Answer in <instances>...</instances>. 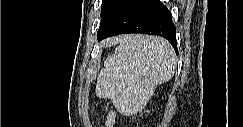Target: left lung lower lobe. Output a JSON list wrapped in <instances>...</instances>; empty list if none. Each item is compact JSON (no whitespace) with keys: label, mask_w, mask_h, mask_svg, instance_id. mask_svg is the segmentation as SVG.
<instances>
[{"label":"left lung lower lobe","mask_w":243,"mask_h":127,"mask_svg":"<svg viewBox=\"0 0 243 127\" xmlns=\"http://www.w3.org/2000/svg\"><path fill=\"white\" fill-rule=\"evenodd\" d=\"M123 33H142L166 38L177 53L176 28L171 13L160 0H122L99 28V40Z\"/></svg>","instance_id":"obj_1"}]
</instances>
